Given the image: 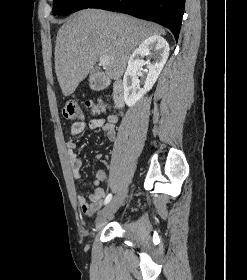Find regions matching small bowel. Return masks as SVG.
<instances>
[{"label": "small bowel", "mask_w": 247, "mask_h": 280, "mask_svg": "<svg viewBox=\"0 0 247 280\" xmlns=\"http://www.w3.org/2000/svg\"><path fill=\"white\" fill-rule=\"evenodd\" d=\"M116 121V117L109 116L107 119L92 118L90 120H80L71 125L70 136L67 142L68 158L73 175L76 179L81 177L82 168V162L75 151L76 136L81 134L87 128L102 129L106 133L107 138L110 141H114L116 138ZM95 158L100 160L102 158V154L96 153ZM105 179L106 172L103 169L98 170L93 179V184L96 186L94 192L89 197L82 194H78L77 196V202L81 211L88 217L94 215L102 206L105 192L100 185L105 181Z\"/></svg>", "instance_id": "c3829d8e"}]
</instances>
